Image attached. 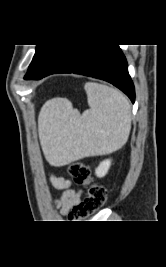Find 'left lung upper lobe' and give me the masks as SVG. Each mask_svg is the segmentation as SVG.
Wrapping results in <instances>:
<instances>
[{
    "instance_id": "5c2ea615",
    "label": "left lung upper lobe",
    "mask_w": 166,
    "mask_h": 267,
    "mask_svg": "<svg viewBox=\"0 0 166 267\" xmlns=\"http://www.w3.org/2000/svg\"><path fill=\"white\" fill-rule=\"evenodd\" d=\"M55 44L50 45H37L36 52L33 57V60L28 68V71L24 77L26 80H31L43 60L47 57V55L56 47Z\"/></svg>"
}]
</instances>
